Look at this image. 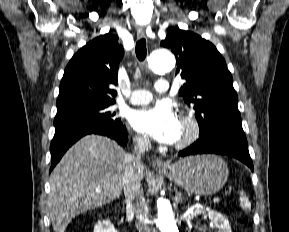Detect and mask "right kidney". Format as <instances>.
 Returning a JSON list of instances; mask_svg holds the SVG:
<instances>
[{
	"instance_id": "1",
	"label": "right kidney",
	"mask_w": 289,
	"mask_h": 232,
	"mask_svg": "<svg viewBox=\"0 0 289 232\" xmlns=\"http://www.w3.org/2000/svg\"><path fill=\"white\" fill-rule=\"evenodd\" d=\"M94 232H118L109 220L99 221L95 227Z\"/></svg>"
}]
</instances>
